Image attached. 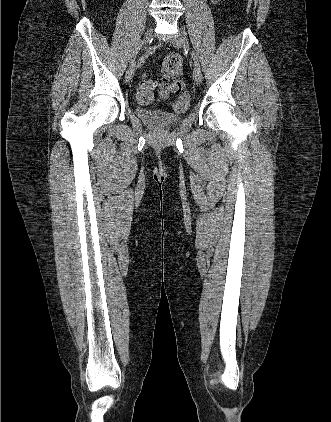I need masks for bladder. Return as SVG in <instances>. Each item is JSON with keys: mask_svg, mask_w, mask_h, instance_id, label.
I'll list each match as a JSON object with an SVG mask.
<instances>
[{"mask_svg": "<svg viewBox=\"0 0 331 422\" xmlns=\"http://www.w3.org/2000/svg\"><path fill=\"white\" fill-rule=\"evenodd\" d=\"M187 111V108L182 111L170 112L161 108H145L137 107L135 113L147 125L153 128H165L174 126L179 123L180 116Z\"/></svg>", "mask_w": 331, "mask_h": 422, "instance_id": "bladder-1", "label": "bladder"}]
</instances>
